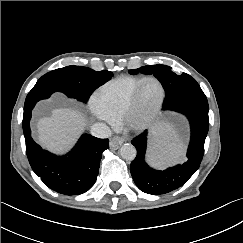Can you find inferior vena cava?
<instances>
[{
	"label": "inferior vena cava",
	"instance_id": "602c4592",
	"mask_svg": "<svg viewBox=\"0 0 243 243\" xmlns=\"http://www.w3.org/2000/svg\"><path fill=\"white\" fill-rule=\"evenodd\" d=\"M91 134L97 138H109L111 130L105 123H95L91 127Z\"/></svg>",
	"mask_w": 243,
	"mask_h": 243
}]
</instances>
